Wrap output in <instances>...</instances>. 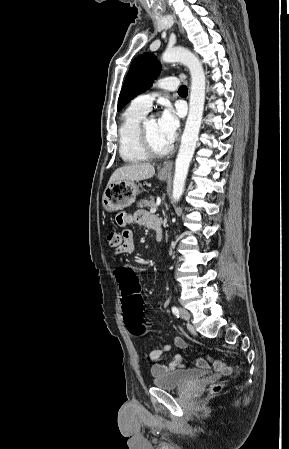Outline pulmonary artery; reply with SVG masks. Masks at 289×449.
Returning a JSON list of instances; mask_svg holds the SVG:
<instances>
[{
    "label": "pulmonary artery",
    "mask_w": 289,
    "mask_h": 449,
    "mask_svg": "<svg viewBox=\"0 0 289 449\" xmlns=\"http://www.w3.org/2000/svg\"><path fill=\"white\" fill-rule=\"evenodd\" d=\"M178 79L176 77H164L157 81L156 86L161 90H175L178 87ZM156 93H146L137 96L132 104L140 109L149 111L155 99Z\"/></svg>",
    "instance_id": "pulmonary-artery-1"
}]
</instances>
